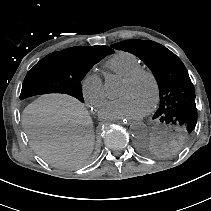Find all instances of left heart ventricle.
<instances>
[{
	"instance_id": "left-heart-ventricle-1",
	"label": "left heart ventricle",
	"mask_w": 211,
	"mask_h": 211,
	"mask_svg": "<svg viewBox=\"0 0 211 211\" xmlns=\"http://www.w3.org/2000/svg\"><path fill=\"white\" fill-rule=\"evenodd\" d=\"M119 95L132 96L145 110L153 100L154 88L149 78L141 77L134 83L123 81L120 86Z\"/></svg>"
}]
</instances>
